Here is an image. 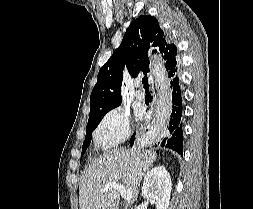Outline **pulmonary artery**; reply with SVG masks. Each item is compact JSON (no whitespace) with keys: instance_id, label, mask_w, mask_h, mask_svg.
Here are the masks:
<instances>
[{"instance_id":"obj_1","label":"pulmonary artery","mask_w":253,"mask_h":209,"mask_svg":"<svg viewBox=\"0 0 253 209\" xmlns=\"http://www.w3.org/2000/svg\"><path fill=\"white\" fill-rule=\"evenodd\" d=\"M135 97H136L137 100L143 101L145 99V93L143 91H141L140 89H138L135 92Z\"/></svg>"}]
</instances>
